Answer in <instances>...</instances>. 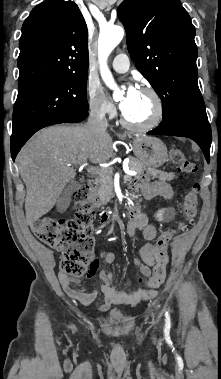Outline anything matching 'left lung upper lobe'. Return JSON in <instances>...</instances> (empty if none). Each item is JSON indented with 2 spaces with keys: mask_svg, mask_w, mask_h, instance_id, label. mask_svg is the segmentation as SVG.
<instances>
[{
  "mask_svg": "<svg viewBox=\"0 0 221 379\" xmlns=\"http://www.w3.org/2000/svg\"><path fill=\"white\" fill-rule=\"evenodd\" d=\"M117 15L135 66L172 112L207 117L197 83L195 28L180 0H124Z\"/></svg>",
  "mask_w": 221,
  "mask_h": 379,
  "instance_id": "5c2ea615",
  "label": "left lung upper lobe"
}]
</instances>
